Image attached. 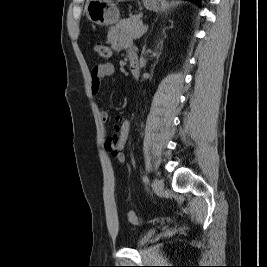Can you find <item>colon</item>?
<instances>
[{
	"instance_id": "5ec220e1",
	"label": "colon",
	"mask_w": 267,
	"mask_h": 267,
	"mask_svg": "<svg viewBox=\"0 0 267 267\" xmlns=\"http://www.w3.org/2000/svg\"><path fill=\"white\" fill-rule=\"evenodd\" d=\"M95 50L98 56L103 59H109L113 53L111 47L103 43H97ZM127 218L129 222L134 225H138L140 222L138 215L132 210L127 213Z\"/></svg>"
}]
</instances>
